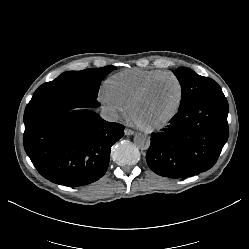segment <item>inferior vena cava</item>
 Wrapping results in <instances>:
<instances>
[{
    "label": "inferior vena cava",
    "mask_w": 249,
    "mask_h": 249,
    "mask_svg": "<svg viewBox=\"0 0 249 249\" xmlns=\"http://www.w3.org/2000/svg\"><path fill=\"white\" fill-rule=\"evenodd\" d=\"M100 117L108 122H117L118 114L116 111L109 107H102L100 111Z\"/></svg>",
    "instance_id": "inferior-vena-cava-1"
}]
</instances>
